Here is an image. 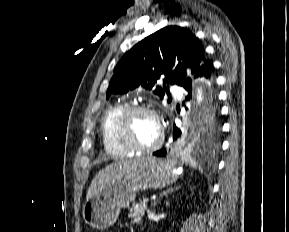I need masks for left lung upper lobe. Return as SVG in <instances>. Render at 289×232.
<instances>
[{
  "instance_id": "1",
  "label": "left lung upper lobe",
  "mask_w": 289,
  "mask_h": 232,
  "mask_svg": "<svg viewBox=\"0 0 289 232\" xmlns=\"http://www.w3.org/2000/svg\"><path fill=\"white\" fill-rule=\"evenodd\" d=\"M204 58V47L192 32L179 26L162 28L137 43L121 58L114 69L106 98L127 93L140 85L151 90L160 77L164 79V85L184 86L191 80L186 77L185 69L190 67L193 73L196 72ZM164 90L165 86H157L154 93L163 98ZM207 117L183 137L184 147L206 153L218 149V115Z\"/></svg>"
}]
</instances>
